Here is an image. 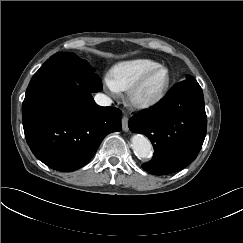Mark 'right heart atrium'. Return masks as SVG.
<instances>
[{
  "label": "right heart atrium",
  "instance_id": "1",
  "mask_svg": "<svg viewBox=\"0 0 243 243\" xmlns=\"http://www.w3.org/2000/svg\"><path fill=\"white\" fill-rule=\"evenodd\" d=\"M107 86L109 88V90L113 93H117V91L112 87V85L109 83V81L107 82Z\"/></svg>",
  "mask_w": 243,
  "mask_h": 243
}]
</instances>
